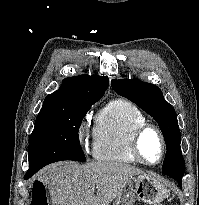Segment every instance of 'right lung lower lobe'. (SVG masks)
<instances>
[{
    "label": "right lung lower lobe",
    "instance_id": "obj_1",
    "mask_svg": "<svg viewBox=\"0 0 199 205\" xmlns=\"http://www.w3.org/2000/svg\"><path fill=\"white\" fill-rule=\"evenodd\" d=\"M30 177H31V176H26V175H25V176H24V179H29Z\"/></svg>",
    "mask_w": 199,
    "mask_h": 205
}]
</instances>
